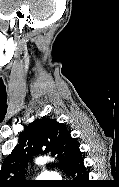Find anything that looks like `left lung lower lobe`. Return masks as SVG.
Wrapping results in <instances>:
<instances>
[{"label":"left lung lower lobe","mask_w":119,"mask_h":187,"mask_svg":"<svg viewBox=\"0 0 119 187\" xmlns=\"http://www.w3.org/2000/svg\"><path fill=\"white\" fill-rule=\"evenodd\" d=\"M65 171L67 174L75 177L73 182H85L88 179L87 169L84 166L79 144L72 148Z\"/></svg>","instance_id":"0a47b994"}]
</instances>
